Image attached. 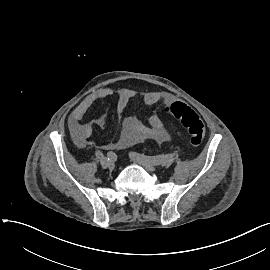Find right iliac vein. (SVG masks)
<instances>
[{"mask_svg":"<svg viewBox=\"0 0 270 270\" xmlns=\"http://www.w3.org/2000/svg\"><path fill=\"white\" fill-rule=\"evenodd\" d=\"M107 165H108V168L110 170H113L115 168V162L114 161H108Z\"/></svg>","mask_w":270,"mask_h":270,"instance_id":"1","label":"right iliac vein"}]
</instances>
